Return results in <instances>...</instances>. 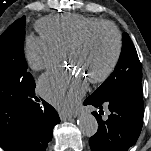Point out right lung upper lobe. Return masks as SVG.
<instances>
[{
    "instance_id": "obj_1",
    "label": "right lung upper lobe",
    "mask_w": 151,
    "mask_h": 151,
    "mask_svg": "<svg viewBox=\"0 0 151 151\" xmlns=\"http://www.w3.org/2000/svg\"><path fill=\"white\" fill-rule=\"evenodd\" d=\"M26 107L0 99V146L5 151H21L26 137Z\"/></svg>"
}]
</instances>
